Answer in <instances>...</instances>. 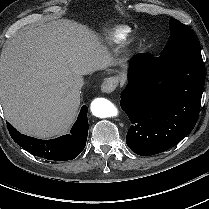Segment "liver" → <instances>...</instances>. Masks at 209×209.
I'll return each instance as SVG.
<instances>
[{
  "mask_svg": "<svg viewBox=\"0 0 209 209\" xmlns=\"http://www.w3.org/2000/svg\"><path fill=\"white\" fill-rule=\"evenodd\" d=\"M95 32L68 19L28 26L0 56V103L20 132L39 138L67 133L80 105L78 77L111 66Z\"/></svg>",
  "mask_w": 209,
  "mask_h": 209,
  "instance_id": "obj_1",
  "label": "liver"
}]
</instances>
